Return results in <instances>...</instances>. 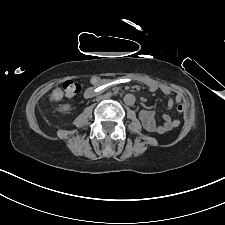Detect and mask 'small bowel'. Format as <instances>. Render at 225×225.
Masks as SVG:
<instances>
[{
    "label": "small bowel",
    "instance_id": "small-bowel-1",
    "mask_svg": "<svg viewBox=\"0 0 225 225\" xmlns=\"http://www.w3.org/2000/svg\"><path fill=\"white\" fill-rule=\"evenodd\" d=\"M106 85H109V84H106ZM106 85H103L101 88H104ZM97 87H98V85L92 84V86L87 89L85 96L86 97L92 96L95 93V90L97 89ZM148 89L151 92L161 90L167 96V98H168L167 109L168 110L172 109L174 104L180 102V100H181L180 95H177L174 98L173 91L165 85H160L158 83L153 82V83L148 84ZM139 118H140L144 128L147 131L157 132L160 134L167 133L179 125V121L177 119L171 118V116L168 113H165L163 115V118H162L163 121L160 125H158L155 120V113L151 110H146V109H142L139 112Z\"/></svg>",
    "mask_w": 225,
    "mask_h": 225
}]
</instances>
